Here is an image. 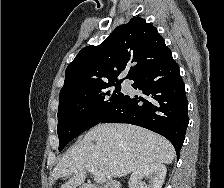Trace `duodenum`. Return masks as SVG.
I'll use <instances>...</instances> for the list:
<instances>
[{
	"instance_id": "1",
	"label": "duodenum",
	"mask_w": 224,
	"mask_h": 188,
	"mask_svg": "<svg viewBox=\"0 0 224 188\" xmlns=\"http://www.w3.org/2000/svg\"><path fill=\"white\" fill-rule=\"evenodd\" d=\"M83 188H99V187L92 185V184H87Z\"/></svg>"
}]
</instances>
